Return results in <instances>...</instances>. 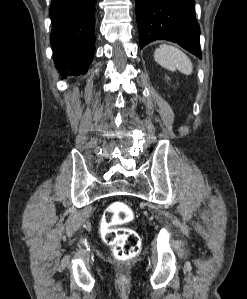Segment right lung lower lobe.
<instances>
[{"mask_svg":"<svg viewBox=\"0 0 247 299\" xmlns=\"http://www.w3.org/2000/svg\"><path fill=\"white\" fill-rule=\"evenodd\" d=\"M96 0H52L51 45L61 74H85L95 51Z\"/></svg>","mask_w":247,"mask_h":299,"instance_id":"right-lung-lower-lobe-1","label":"right lung lower lobe"}]
</instances>
